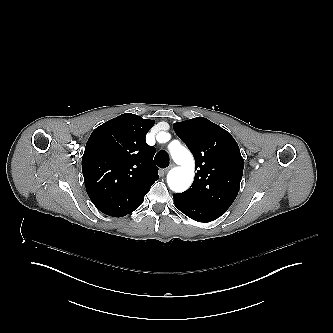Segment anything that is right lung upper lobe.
Returning <instances> with one entry per match:
<instances>
[{
  "instance_id": "obj_1",
  "label": "right lung upper lobe",
  "mask_w": 333,
  "mask_h": 333,
  "mask_svg": "<svg viewBox=\"0 0 333 333\" xmlns=\"http://www.w3.org/2000/svg\"><path fill=\"white\" fill-rule=\"evenodd\" d=\"M153 125V120L131 113L100 125L86 143L82 169L96 159H103L117 178L138 176L158 179V168L153 162L155 148L145 141Z\"/></svg>"
}]
</instances>
